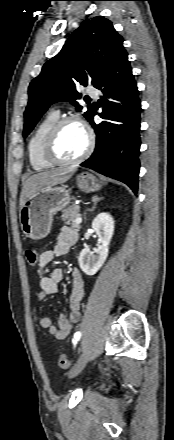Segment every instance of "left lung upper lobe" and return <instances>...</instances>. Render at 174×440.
Listing matches in <instances>:
<instances>
[{
	"label": "left lung upper lobe",
	"mask_w": 174,
	"mask_h": 440,
	"mask_svg": "<svg viewBox=\"0 0 174 440\" xmlns=\"http://www.w3.org/2000/svg\"><path fill=\"white\" fill-rule=\"evenodd\" d=\"M123 49V38L111 21L103 16L83 21L61 51L44 64L40 75L30 83L23 136L32 131L55 102L70 101L77 110H81L82 107L75 101L81 98L76 85L92 83L96 87L105 70ZM92 110L88 106L84 117L88 119Z\"/></svg>",
	"instance_id": "5c2ea615"
}]
</instances>
